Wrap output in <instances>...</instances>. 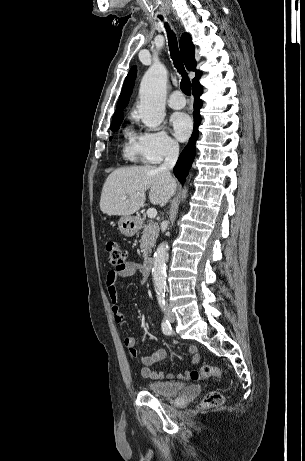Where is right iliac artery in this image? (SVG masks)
Here are the masks:
<instances>
[{
  "instance_id": "82829eb1",
  "label": "right iliac artery",
  "mask_w": 305,
  "mask_h": 461,
  "mask_svg": "<svg viewBox=\"0 0 305 461\" xmlns=\"http://www.w3.org/2000/svg\"><path fill=\"white\" fill-rule=\"evenodd\" d=\"M158 301H159V305L162 308V310L165 311V300H164V298L160 297L158 299ZM161 326H162V331H163V333L165 335H171L172 334V327H171V324L168 321V319L164 318Z\"/></svg>"
}]
</instances>
